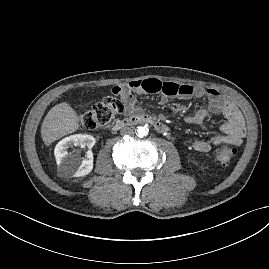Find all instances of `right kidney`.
Listing matches in <instances>:
<instances>
[{
    "instance_id": "obj_1",
    "label": "right kidney",
    "mask_w": 269,
    "mask_h": 269,
    "mask_svg": "<svg viewBox=\"0 0 269 269\" xmlns=\"http://www.w3.org/2000/svg\"><path fill=\"white\" fill-rule=\"evenodd\" d=\"M91 149L95 138L91 135L75 134L62 139L54 149V155L60 172L65 176L80 177L89 174L93 169V154L88 150L85 158L76 153H69L68 148L76 145Z\"/></svg>"
}]
</instances>
